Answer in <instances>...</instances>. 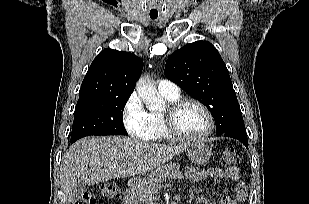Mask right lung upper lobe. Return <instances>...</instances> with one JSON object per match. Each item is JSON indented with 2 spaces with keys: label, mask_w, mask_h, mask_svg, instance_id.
I'll return each instance as SVG.
<instances>
[{
  "label": "right lung upper lobe",
  "mask_w": 309,
  "mask_h": 204,
  "mask_svg": "<svg viewBox=\"0 0 309 204\" xmlns=\"http://www.w3.org/2000/svg\"><path fill=\"white\" fill-rule=\"evenodd\" d=\"M142 68L143 61L137 56L125 51L104 49L90 65L77 103L103 97H130Z\"/></svg>",
  "instance_id": "right-lung-upper-lobe-1"
}]
</instances>
